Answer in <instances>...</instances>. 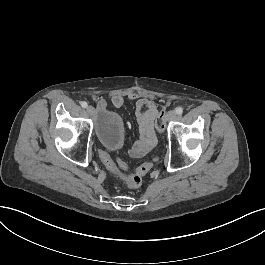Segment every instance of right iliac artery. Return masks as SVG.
<instances>
[{
    "label": "right iliac artery",
    "instance_id": "right-iliac-artery-1",
    "mask_svg": "<svg viewBox=\"0 0 265 265\" xmlns=\"http://www.w3.org/2000/svg\"><path fill=\"white\" fill-rule=\"evenodd\" d=\"M81 106H82L83 108H86V107L88 106V104H87V102L83 101V102H81Z\"/></svg>",
    "mask_w": 265,
    "mask_h": 265
}]
</instances>
